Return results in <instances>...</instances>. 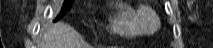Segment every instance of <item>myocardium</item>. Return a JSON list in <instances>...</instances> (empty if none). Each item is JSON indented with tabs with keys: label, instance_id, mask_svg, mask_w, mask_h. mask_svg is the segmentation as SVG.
Returning <instances> with one entry per match:
<instances>
[{
	"label": "myocardium",
	"instance_id": "obj_1",
	"mask_svg": "<svg viewBox=\"0 0 213 48\" xmlns=\"http://www.w3.org/2000/svg\"><path fill=\"white\" fill-rule=\"evenodd\" d=\"M137 19L145 34H153L160 26L157 13L149 7H142L141 11L138 13ZM149 21L153 22L152 26H150Z\"/></svg>",
	"mask_w": 213,
	"mask_h": 48
}]
</instances>
